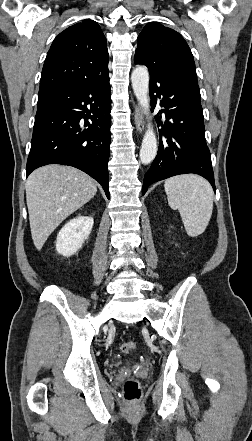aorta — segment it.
Listing matches in <instances>:
<instances>
[{
    "mask_svg": "<svg viewBox=\"0 0 252 441\" xmlns=\"http://www.w3.org/2000/svg\"><path fill=\"white\" fill-rule=\"evenodd\" d=\"M134 94L141 105L143 112L149 114V73L146 67H136L131 75ZM157 154V138L153 131L151 123H148L147 130L142 140L140 149V161L142 164L151 163Z\"/></svg>",
    "mask_w": 252,
    "mask_h": 441,
    "instance_id": "aorta-1",
    "label": "aorta"
}]
</instances>
